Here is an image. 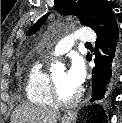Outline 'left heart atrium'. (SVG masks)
Listing matches in <instances>:
<instances>
[{"label": "left heart atrium", "instance_id": "obj_1", "mask_svg": "<svg viewBox=\"0 0 122 123\" xmlns=\"http://www.w3.org/2000/svg\"><path fill=\"white\" fill-rule=\"evenodd\" d=\"M85 66L78 57L72 59L71 65L66 72L67 83L77 89H80L85 80Z\"/></svg>", "mask_w": 122, "mask_h": 123}]
</instances>
